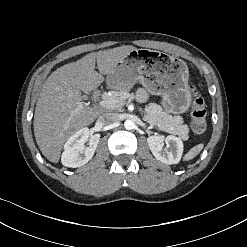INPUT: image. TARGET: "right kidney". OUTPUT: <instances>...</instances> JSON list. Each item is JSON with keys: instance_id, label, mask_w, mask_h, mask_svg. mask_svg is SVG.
<instances>
[{"instance_id": "right-kidney-1", "label": "right kidney", "mask_w": 247, "mask_h": 247, "mask_svg": "<svg viewBox=\"0 0 247 247\" xmlns=\"http://www.w3.org/2000/svg\"><path fill=\"white\" fill-rule=\"evenodd\" d=\"M100 140L99 134L90 135L87 127L74 133L65 143L61 162L66 167L77 168L90 161ZM88 142V147L85 143Z\"/></svg>"}]
</instances>
